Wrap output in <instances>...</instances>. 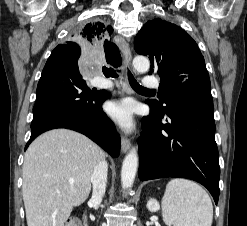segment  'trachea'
Segmentation results:
<instances>
[{
	"label": "trachea",
	"mask_w": 247,
	"mask_h": 226,
	"mask_svg": "<svg viewBox=\"0 0 247 226\" xmlns=\"http://www.w3.org/2000/svg\"><path fill=\"white\" fill-rule=\"evenodd\" d=\"M103 74L106 77H112V78H117L118 74L117 72H115L112 68H106L104 67L102 69ZM128 79H129V83L131 85V87L135 90V91H140V92H152L153 90L144 88L143 86H141L134 78V76L132 75V73L128 70Z\"/></svg>",
	"instance_id": "obj_1"
}]
</instances>
